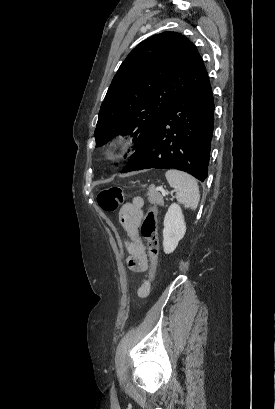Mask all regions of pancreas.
<instances>
[{
	"label": "pancreas",
	"mask_w": 275,
	"mask_h": 409,
	"mask_svg": "<svg viewBox=\"0 0 275 409\" xmlns=\"http://www.w3.org/2000/svg\"><path fill=\"white\" fill-rule=\"evenodd\" d=\"M147 194H148L149 202H156V205H161V207H163L164 200L160 192H157V190H154V188H149Z\"/></svg>",
	"instance_id": "cf45deb5"
}]
</instances>
